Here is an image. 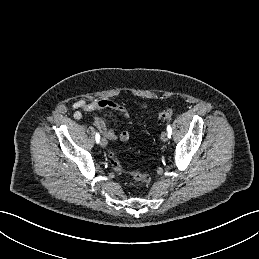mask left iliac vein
Wrapping results in <instances>:
<instances>
[{"label": "left iliac vein", "mask_w": 259, "mask_h": 259, "mask_svg": "<svg viewBox=\"0 0 259 259\" xmlns=\"http://www.w3.org/2000/svg\"><path fill=\"white\" fill-rule=\"evenodd\" d=\"M160 138H161V141H162V142H167V141H168V132L163 131V132L161 133Z\"/></svg>", "instance_id": "4c4485c4"}]
</instances>
